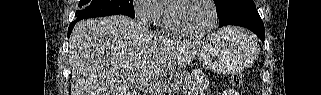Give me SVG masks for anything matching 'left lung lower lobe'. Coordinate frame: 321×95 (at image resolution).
Masks as SVG:
<instances>
[{"instance_id":"obj_1","label":"left lung lower lobe","mask_w":321,"mask_h":95,"mask_svg":"<svg viewBox=\"0 0 321 95\" xmlns=\"http://www.w3.org/2000/svg\"><path fill=\"white\" fill-rule=\"evenodd\" d=\"M218 17L221 27L226 25L245 27L264 42V25L253 0H235Z\"/></svg>"}]
</instances>
